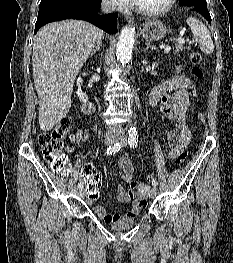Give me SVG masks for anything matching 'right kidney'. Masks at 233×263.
Segmentation results:
<instances>
[{
  "label": "right kidney",
  "mask_w": 233,
  "mask_h": 263,
  "mask_svg": "<svg viewBox=\"0 0 233 263\" xmlns=\"http://www.w3.org/2000/svg\"><path fill=\"white\" fill-rule=\"evenodd\" d=\"M76 83H77V86H78V90H77L76 94H77V96H78L80 101L86 103L88 101V96L85 93H83L82 90H81V85L83 83L82 78L79 77L77 79Z\"/></svg>",
  "instance_id": "right-kidney-1"
}]
</instances>
